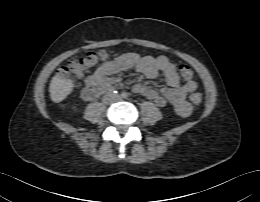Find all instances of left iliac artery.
I'll use <instances>...</instances> for the list:
<instances>
[{
  "label": "left iliac artery",
  "instance_id": "1",
  "mask_svg": "<svg viewBox=\"0 0 260 202\" xmlns=\"http://www.w3.org/2000/svg\"><path fill=\"white\" fill-rule=\"evenodd\" d=\"M122 97H123V98H127V97H128V93H127V92H123V93H122Z\"/></svg>",
  "mask_w": 260,
  "mask_h": 202
}]
</instances>
